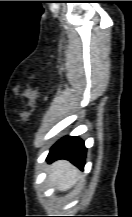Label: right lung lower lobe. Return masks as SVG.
Wrapping results in <instances>:
<instances>
[{
    "mask_svg": "<svg viewBox=\"0 0 132 217\" xmlns=\"http://www.w3.org/2000/svg\"><path fill=\"white\" fill-rule=\"evenodd\" d=\"M86 155L84 142L78 137L66 136L59 140L50 150L47 161L58 159L70 160L74 165L83 169Z\"/></svg>",
    "mask_w": 132,
    "mask_h": 217,
    "instance_id": "obj_1",
    "label": "right lung lower lobe"
}]
</instances>
